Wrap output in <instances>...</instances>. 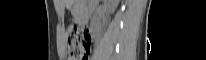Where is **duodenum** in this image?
Here are the masks:
<instances>
[{
	"label": "duodenum",
	"instance_id": "410a0bca",
	"mask_svg": "<svg viewBox=\"0 0 206 60\" xmlns=\"http://www.w3.org/2000/svg\"><path fill=\"white\" fill-rule=\"evenodd\" d=\"M88 24H90V19H83V23H81V28H88Z\"/></svg>",
	"mask_w": 206,
	"mask_h": 60
}]
</instances>
